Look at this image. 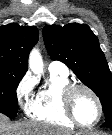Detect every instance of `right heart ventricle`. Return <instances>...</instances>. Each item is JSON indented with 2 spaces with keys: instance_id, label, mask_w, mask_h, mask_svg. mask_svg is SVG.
I'll return each instance as SVG.
<instances>
[{
  "instance_id": "obj_1",
  "label": "right heart ventricle",
  "mask_w": 112,
  "mask_h": 135,
  "mask_svg": "<svg viewBox=\"0 0 112 135\" xmlns=\"http://www.w3.org/2000/svg\"><path fill=\"white\" fill-rule=\"evenodd\" d=\"M71 84L68 75L50 72L47 84L33 96L26 110L28 116L56 126L74 127L61 102L63 89Z\"/></svg>"
}]
</instances>
